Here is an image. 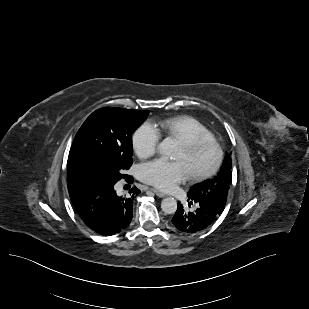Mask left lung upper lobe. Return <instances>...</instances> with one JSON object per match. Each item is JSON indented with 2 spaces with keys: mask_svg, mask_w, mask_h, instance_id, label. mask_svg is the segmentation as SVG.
Here are the masks:
<instances>
[{
  "mask_svg": "<svg viewBox=\"0 0 309 309\" xmlns=\"http://www.w3.org/2000/svg\"><path fill=\"white\" fill-rule=\"evenodd\" d=\"M231 153L226 154L221 171L213 179H208L191 187L188 196L200 200L226 204L229 186L232 182Z\"/></svg>",
  "mask_w": 309,
  "mask_h": 309,
  "instance_id": "obj_1",
  "label": "left lung upper lobe"
}]
</instances>
